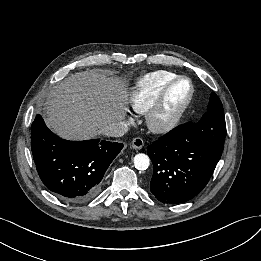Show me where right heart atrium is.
<instances>
[{
	"label": "right heart atrium",
	"instance_id": "obj_1",
	"mask_svg": "<svg viewBox=\"0 0 261 261\" xmlns=\"http://www.w3.org/2000/svg\"><path fill=\"white\" fill-rule=\"evenodd\" d=\"M130 120H131L130 116H127V121H130Z\"/></svg>",
	"mask_w": 261,
	"mask_h": 261
}]
</instances>
